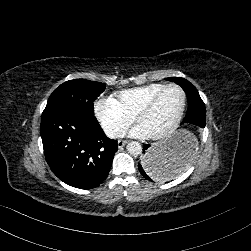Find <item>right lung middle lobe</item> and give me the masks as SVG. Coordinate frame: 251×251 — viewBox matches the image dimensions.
<instances>
[{"instance_id": "dd1d6c3e", "label": "right lung middle lobe", "mask_w": 251, "mask_h": 251, "mask_svg": "<svg viewBox=\"0 0 251 251\" xmlns=\"http://www.w3.org/2000/svg\"><path fill=\"white\" fill-rule=\"evenodd\" d=\"M106 85L84 79L70 80L61 84L50 95L46 108H72L94 113V101Z\"/></svg>"}]
</instances>
